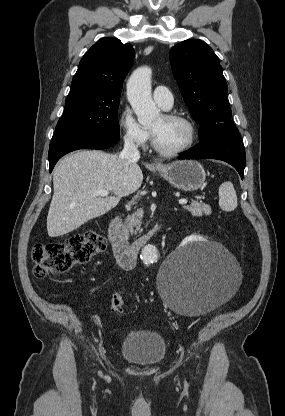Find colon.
<instances>
[{"instance_id":"1","label":"colon","mask_w":285,"mask_h":416,"mask_svg":"<svg viewBox=\"0 0 285 416\" xmlns=\"http://www.w3.org/2000/svg\"><path fill=\"white\" fill-rule=\"evenodd\" d=\"M105 237L95 230L76 234L64 242L39 243L32 248L34 275L44 278L49 275L63 274L74 266L85 265L98 253L106 248ZM124 301L115 293L111 300V308L122 312Z\"/></svg>"}]
</instances>
